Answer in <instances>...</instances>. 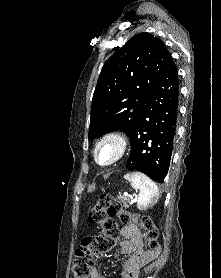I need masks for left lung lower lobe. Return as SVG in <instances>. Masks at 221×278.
<instances>
[{
    "label": "left lung lower lobe",
    "mask_w": 221,
    "mask_h": 278,
    "mask_svg": "<svg viewBox=\"0 0 221 278\" xmlns=\"http://www.w3.org/2000/svg\"><path fill=\"white\" fill-rule=\"evenodd\" d=\"M179 107L177 67L171 58L150 92L130 134L131 154L126 168L162 183L167 175Z\"/></svg>",
    "instance_id": "1"
}]
</instances>
